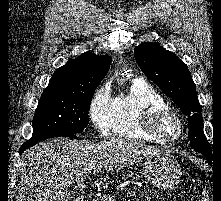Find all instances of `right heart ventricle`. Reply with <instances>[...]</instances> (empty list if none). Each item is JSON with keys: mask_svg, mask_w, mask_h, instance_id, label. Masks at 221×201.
Here are the masks:
<instances>
[{"mask_svg": "<svg viewBox=\"0 0 221 201\" xmlns=\"http://www.w3.org/2000/svg\"><path fill=\"white\" fill-rule=\"evenodd\" d=\"M167 106L163 97L143 81H135L126 95L114 99L113 132L122 137L163 143L140 128L143 114L150 108Z\"/></svg>", "mask_w": 221, "mask_h": 201, "instance_id": "1", "label": "right heart ventricle"}]
</instances>
